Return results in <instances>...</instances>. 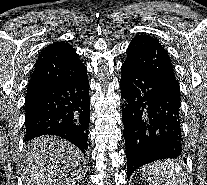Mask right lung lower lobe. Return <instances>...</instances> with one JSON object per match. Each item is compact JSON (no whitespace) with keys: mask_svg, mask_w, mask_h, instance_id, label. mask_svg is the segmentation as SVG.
Returning <instances> with one entry per match:
<instances>
[{"mask_svg":"<svg viewBox=\"0 0 207 185\" xmlns=\"http://www.w3.org/2000/svg\"><path fill=\"white\" fill-rule=\"evenodd\" d=\"M90 120L87 71L81 76L26 96L25 141L41 135L60 136L85 152Z\"/></svg>","mask_w":207,"mask_h":185,"instance_id":"obj_1","label":"right lung lower lobe"}]
</instances>
